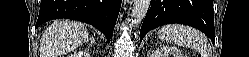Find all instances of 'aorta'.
<instances>
[{
  "label": "aorta",
  "instance_id": "aorta-1",
  "mask_svg": "<svg viewBox=\"0 0 249 57\" xmlns=\"http://www.w3.org/2000/svg\"><path fill=\"white\" fill-rule=\"evenodd\" d=\"M150 0H134L131 22L134 26L140 25L149 9Z\"/></svg>",
  "mask_w": 249,
  "mask_h": 57
}]
</instances>
